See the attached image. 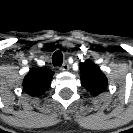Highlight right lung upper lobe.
I'll use <instances>...</instances> for the list:
<instances>
[{"label": "right lung upper lobe", "mask_w": 133, "mask_h": 133, "mask_svg": "<svg viewBox=\"0 0 133 133\" xmlns=\"http://www.w3.org/2000/svg\"><path fill=\"white\" fill-rule=\"evenodd\" d=\"M53 74L49 69L32 68L24 77V91L30 96H41L49 88Z\"/></svg>", "instance_id": "right-lung-upper-lobe-1"}]
</instances>
